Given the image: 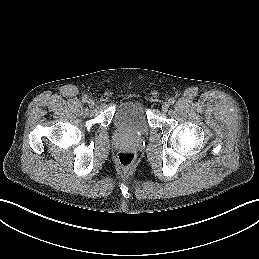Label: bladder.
Returning a JSON list of instances; mask_svg holds the SVG:
<instances>
[{
  "label": "bladder",
  "mask_w": 259,
  "mask_h": 259,
  "mask_svg": "<svg viewBox=\"0 0 259 259\" xmlns=\"http://www.w3.org/2000/svg\"><path fill=\"white\" fill-rule=\"evenodd\" d=\"M113 123L117 130L132 134H146L150 129L146 107L137 99L123 101L115 111Z\"/></svg>",
  "instance_id": "obj_1"
}]
</instances>
